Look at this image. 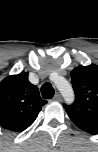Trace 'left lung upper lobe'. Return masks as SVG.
Returning <instances> with one entry per match:
<instances>
[{
	"label": "left lung upper lobe",
	"instance_id": "1",
	"mask_svg": "<svg viewBox=\"0 0 98 152\" xmlns=\"http://www.w3.org/2000/svg\"><path fill=\"white\" fill-rule=\"evenodd\" d=\"M75 101L64 108L81 129L98 130V66H78L71 73Z\"/></svg>",
	"mask_w": 98,
	"mask_h": 152
}]
</instances>
